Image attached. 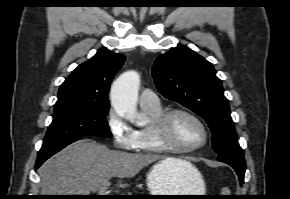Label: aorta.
Wrapping results in <instances>:
<instances>
[{
	"mask_svg": "<svg viewBox=\"0 0 290 199\" xmlns=\"http://www.w3.org/2000/svg\"><path fill=\"white\" fill-rule=\"evenodd\" d=\"M139 85V74L136 71H127L114 81L110 96L117 114L138 126H143L147 119L137 111Z\"/></svg>",
	"mask_w": 290,
	"mask_h": 199,
	"instance_id": "obj_1",
	"label": "aorta"
}]
</instances>
